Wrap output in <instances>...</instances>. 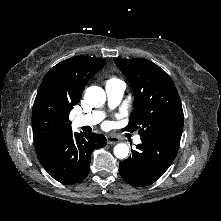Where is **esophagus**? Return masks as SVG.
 <instances>
[{
    "label": "esophagus",
    "instance_id": "obj_1",
    "mask_svg": "<svg viewBox=\"0 0 221 221\" xmlns=\"http://www.w3.org/2000/svg\"><path fill=\"white\" fill-rule=\"evenodd\" d=\"M106 140L108 144H116L119 142V138L112 136V135L106 136Z\"/></svg>",
    "mask_w": 221,
    "mask_h": 221
}]
</instances>
